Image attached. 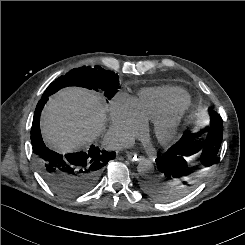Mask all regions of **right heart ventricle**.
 <instances>
[{
	"mask_svg": "<svg viewBox=\"0 0 245 245\" xmlns=\"http://www.w3.org/2000/svg\"><path fill=\"white\" fill-rule=\"evenodd\" d=\"M189 101L188 93L174 86L144 88L135 99L138 113L145 122L183 108Z\"/></svg>",
	"mask_w": 245,
	"mask_h": 245,
	"instance_id": "1",
	"label": "right heart ventricle"
}]
</instances>
